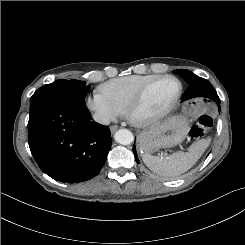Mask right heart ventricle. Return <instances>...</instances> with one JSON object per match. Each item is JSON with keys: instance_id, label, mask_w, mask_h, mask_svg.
Returning <instances> with one entry per match:
<instances>
[{"instance_id": "obj_1", "label": "right heart ventricle", "mask_w": 245, "mask_h": 245, "mask_svg": "<svg viewBox=\"0 0 245 245\" xmlns=\"http://www.w3.org/2000/svg\"><path fill=\"white\" fill-rule=\"evenodd\" d=\"M159 75H131L109 80L100 86V91L120 109L126 112L127 107L137 92L149 81Z\"/></svg>"}]
</instances>
